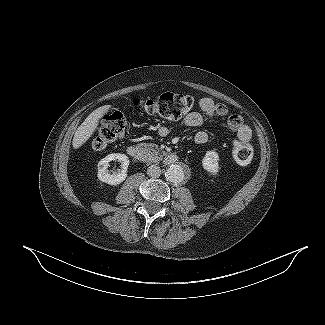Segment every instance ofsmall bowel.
Segmentation results:
<instances>
[{
    "label": "small bowel",
    "mask_w": 325,
    "mask_h": 325,
    "mask_svg": "<svg viewBox=\"0 0 325 325\" xmlns=\"http://www.w3.org/2000/svg\"><path fill=\"white\" fill-rule=\"evenodd\" d=\"M199 108L208 117H223L228 114V108L223 103H217L211 98L204 97L199 100ZM204 117L199 112H191L183 118V125L187 127H199L203 124ZM228 128L236 134L237 140L243 143H249L252 137L251 129L243 122L238 114H232L227 119ZM158 133L162 137H166L170 133L167 126H161ZM208 140V134L204 130H199L194 135V141L197 144H203Z\"/></svg>",
    "instance_id": "obj_1"
}]
</instances>
